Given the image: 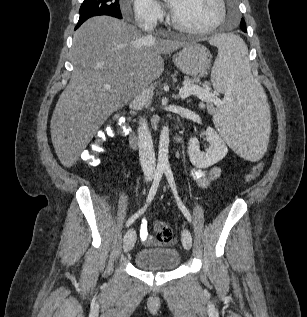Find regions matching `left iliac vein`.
Listing matches in <instances>:
<instances>
[{
  "label": "left iliac vein",
  "mask_w": 307,
  "mask_h": 317,
  "mask_svg": "<svg viewBox=\"0 0 307 317\" xmlns=\"http://www.w3.org/2000/svg\"><path fill=\"white\" fill-rule=\"evenodd\" d=\"M182 243L187 250L192 246V234L188 229H184L182 232Z\"/></svg>",
  "instance_id": "obj_1"
}]
</instances>
